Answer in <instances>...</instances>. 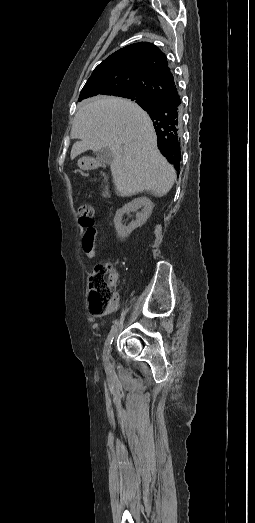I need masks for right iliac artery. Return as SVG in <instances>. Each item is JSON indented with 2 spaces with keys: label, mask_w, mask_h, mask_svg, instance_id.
Masks as SVG:
<instances>
[{
  "label": "right iliac artery",
  "mask_w": 255,
  "mask_h": 523,
  "mask_svg": "<svg viewBox=\"0 0 255 523\" xmlns=\"http://www.w3.org/2000/svg\"><path fill=\"white\" fill-rule=\"evenodd\" d=\"M117 322L112 326L111 330H110V333L106 339V342H105V346H104V349H103V361H104V364L106 367L109 366V352H110V349H111V344L113 342V339H114V335H115V332L117 330Z\"/></svg>",
  "instance_id": "82829eb1"
}]
</instances>
